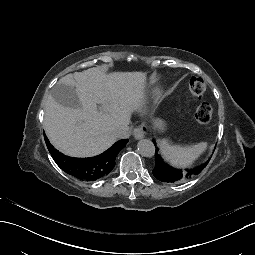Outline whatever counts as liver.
Returning a JSON list of instances; mask_svg holds the SVG:
<instances>
[{
	"instance_id": "liver-1",
	"label": "liver",
	"mask_w": 255,
	"mask_h": 255,
	"mask_svg": "<svg viewBox=\"0 0 255 255\" xmlns=\"http://www.w3.org/2000/svg\"><path fill=\"white\" fill-rule=\"evenodd\" d=\"M143 82L142 73H116L109 77L101 67L63 77L57 85L73 88L81 108L60 105L52 95L48 96L44 129L50 142L72 157L104 152L115 142L118 128L129 123ZM97 103L101 104L99 111Z\"/></svg>"
}]
</instances>
